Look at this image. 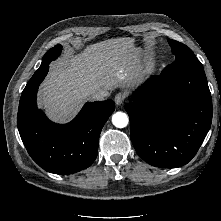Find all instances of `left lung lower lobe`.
<instances>
[{"label":"left lung lower lobe","instance_id":"0a47b994","mask_svg":"<svg viewBox=\"0 0 221 221\" xmlns=\"http://www.w3.org/2000/svg\"><path fill=\"white\" fill-rule=\"evenodd\" d=\"M125 105L137 154L156 167L187 164L204 141L212 121V100L196 57L176 60L152 76Z\"/></svg>","mask_w":221,"mask_h":221}]
</instances>
